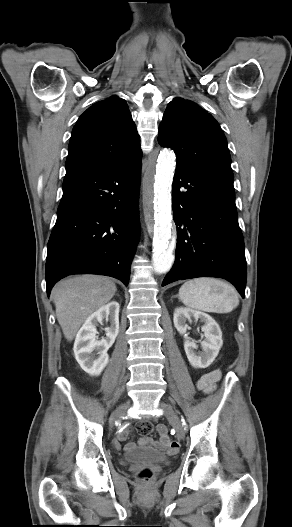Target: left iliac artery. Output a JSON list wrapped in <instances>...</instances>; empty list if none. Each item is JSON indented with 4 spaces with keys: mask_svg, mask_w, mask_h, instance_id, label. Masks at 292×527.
<instances>
[{
    "mask_svg": "<svg viewBox=\"0 0 292 527\" xmlns=\"http://www.w3.org/2000/svg\"><path fill=\"white\" fill-rule=\"evenodd\" d=\"M182 425H183V426H186V423H185V420H184V419H182Z\"/></svg>",
    "mask_w": 292,
    "mask_h": 527,
    "instance_id": "1",
    "label": "left iliac artery"
}]
</instances>
